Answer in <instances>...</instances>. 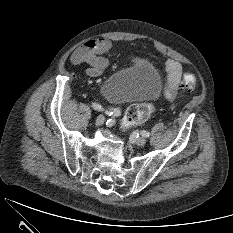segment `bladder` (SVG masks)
Instances as JSON below:
<instances>
[{"label": "bladder", "mask_w": 233, "mask_h": 233, "mask_svg": "<svg viewBox=\"0 0 233 233\" xmlns=\"http://www.w3.org/2000/svg\"><path fill=\"white\" fill-rule=\"evenodd\" d=\"M161 88L159 71L149 61L136 59L128 67L111 74L100 91L108 101L121 104L155 99Z\"/></svg>", "instance_id": "31cf9c89"}]
</instances>
